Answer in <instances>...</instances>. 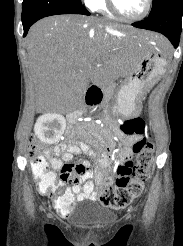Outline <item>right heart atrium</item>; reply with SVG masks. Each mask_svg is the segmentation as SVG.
<instances>
[{
  "instance_id": "obj_1",
  "label": "right heart atrium",
  "mask_w": 183,
  "mask_h": 246,
  "mask_svg": "<svg viewBox=\"0 0 183 246\" xmlns=\"http://www.w3.org/2000/svg\"><path fill=\"white\" fill-rule=\"evenodd\" d=\"M82 1L86 4L87 7H89L90 9H92L93 5L95 4V2L97 0H82Z\"/></svg>"
}]
</instances>
